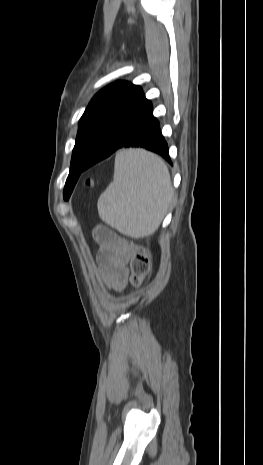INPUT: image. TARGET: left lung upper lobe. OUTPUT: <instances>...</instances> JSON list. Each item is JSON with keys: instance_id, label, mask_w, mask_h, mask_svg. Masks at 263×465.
<instances>
[{"instance_id": "1", "label": "left lung upper lobe", "mask_w": 263, "mask_h": 465, "mask_svg": "<svg viewBox=\"0 0 263 465\" xmlns=\"http://www.w3.org/2000/svg\"><path fill=\"white\" fill-rule=\"evenodd\" d=\"M132 83L119 81L99 91L91 100L79 121V128L72 153L70 173L63 191L68 200L83 171V166L94 147L113 119L141 92Z\"/></svg>"}]
</instances>
